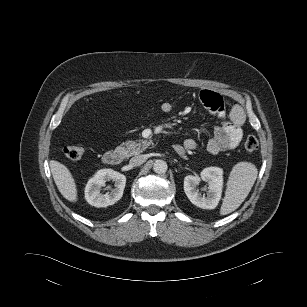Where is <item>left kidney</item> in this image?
Wrapping results in <instances>:
<instances>
[{"instance_id": "left-kidney-1", "label": "left kidney", "mask_w": 307, "mask_h": 307, "mask_svg": "<svg viewBox=\"0 0 307 307\" xmlns=\"http://www.w3.org/2000/svg\"><path fill=\"white\" fill-rule=\"evenodd\" d=\"M200 179L208 183L207 196L197 189ZM223 188V170L218 167H207L200 177L188 175L184 178V191L192 204L202 209H214L218 205Z\"/></svg>"}]
</instances>
